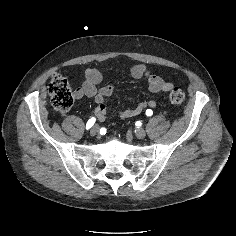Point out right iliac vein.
I'll return each instance as SVG.
<instances>
[{
  "mask_svg": "<svg viewBox=\"0 0 236 236\" xmlns=\"http://www.w3.org/2000/svg\"><path fill=\"white\" fill-rule=\"evenodd\" d=\"M98 132H99V128H98L97 125H94V126L91 128V130H90V134H91L92 136L96 135Z\"/></svg>",
  "mask_w": 236,
  "mask_h": 236,
  "instance_id": "63e3f726",
  "label": "right iliac vein"
}]
</instances>
